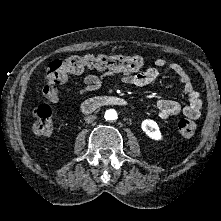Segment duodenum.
I'll return each instance as SVG.
<instances>
[{"label": "duodenum", "mask_w": 221, "mask_h": 221, "mask_svg": "<svg viewBox=\"0 0 221 221\" xmlns=\"http://www.w3.org/2000/svg\"><path fill=\"white\" fill-rule=\"evenodd\" d=\"M109 105L128 106L129 101L119 96H99L86 100L82 105L85 113H92Z\"/></svg>", "instance_id": "duodenum-1"}]
</instances>
